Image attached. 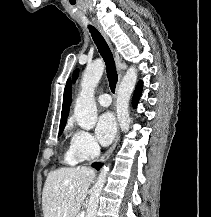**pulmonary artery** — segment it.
Segmentation results:
<instances>
[{"label":"pulmonary artery","instance_id":"1","mask_svg":"<svg viewBox=\"0 0 211 217\" xmlns=\"http://www.w3.org/2000/svg\"><path fill=\"white\" fill-rule=\"evenodd\" d=\"M98 103L103 107H108L111 104V96L109 94H101L97 98Z\"/></svg>","mask_w":211,"mask_h":217}]
</instances>
